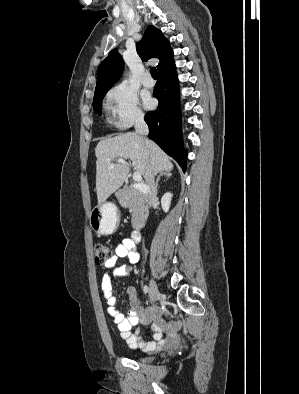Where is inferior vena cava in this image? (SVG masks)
I'll return each instance as SVG.
<instances>
[{
    "mask_svg": "<svg viewBox=\"0 0 299 394\" xmlns=\"http://www.w3.org/2000/svg\"><path fill=\"white\" fill-rule=\"evenodd\" d=\"M135 131L136 134L140 135L142 138H144L146 145L149 144V141L145 139V136L148 135L149 129L148 125L144 121L143 115H138L135 120ZM147 184L149 186L148 190V204L151 207L152 203L156 200V195H157V187L154 182V172L150 171L148 174L147 178ZM145 253L147 251L145 250Z\"/></svg>",
    "mask_w": 299,
    "mask_h": 394,
    "instance_id": "1",
    "label": "inferior vena cava"
}]
</instances>
